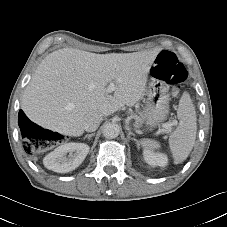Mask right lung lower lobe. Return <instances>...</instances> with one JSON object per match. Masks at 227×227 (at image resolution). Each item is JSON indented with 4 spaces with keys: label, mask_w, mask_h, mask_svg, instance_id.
Segmentation results:
<instances>
[{
    "label": "right lung lower lobe",
    "mask_w": 227,
    "mask_h": 227,
    "mask_svg": "<svg viewBox=\"0 0 227 227\" xmlns=\"http://www.w3.org/2000/svg\"><path fill=\"white\" fill-rule=\"evenodd\" d=\"M21 132H24V129L27 125L33 124L24 114L22 110L19 111V120H18Z\"/></svg>",
    "instance_id": "right-lung-lower-lobe-1"
}]
</instances>
